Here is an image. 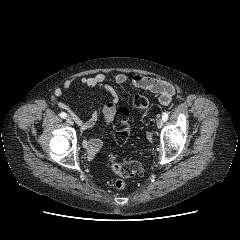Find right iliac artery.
I'll list each match as a JSON object with an SVG mask.
<instances>
[{
    "label": "right iliac artery",
    "mask_w": 240,
    "mask_h": 240,
    "mask_svg": "<svg viewBox=\"0 0 240 240\" xmlns=\"http://www.w3.org/2000/svg\"><path fill=\"white\" fill-rule=\"evenodd\" d=\"M60 117H61V118H66V117H67V114H66L65 112H61V113H60Z\"/></svg>",
    "instance_id": "obj_1"
}]
</instances>
